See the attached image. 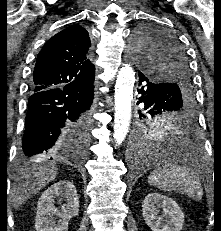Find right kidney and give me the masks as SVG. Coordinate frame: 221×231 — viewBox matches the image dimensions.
I'll return each instance as SVG.
<instances>
[{
  "label": "right kidney",
  "mask_w": 221,
  "mask_h": 231,
  "mask_svg": "<svg viewBox=\"0 0 221 231\" xmlns=\"http://www.w3.org/2000/svg\"><path fill=\"white\" fill-rule=\"evenodd\" d=\"M65 203L61 209L55 207V200ZM79 212V199L75 186L66 180H61L47 188L39 198L35 221L36 231H68L71 218ZM54 216L60 219L55 222Z\"/></svg>",
  "instance_id": "right-kidney-1"
}]
</instances>
